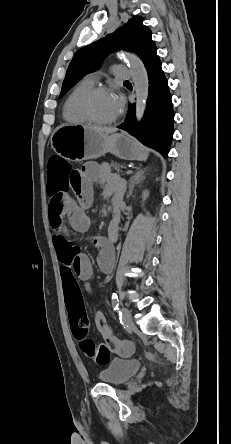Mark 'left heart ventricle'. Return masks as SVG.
I'll return each instance as SVG.
<instances>
[{
  "label": "left heart ventricle",
  "instance_id": "1",
  "mask_svg": "<svg viewBox=\"0 0 231 444\" xmlns=\"http://www.w3.org/2000/svg\"><path fill=\"white\" fill-rule=\"evenodd\" d=\"M93 116L100 121L110 120L117 116L118 111L111 94H98L91 101Z\"/></svg>",
  "mask_w": 231,
  "mask_h": 444
}]
</instances>
